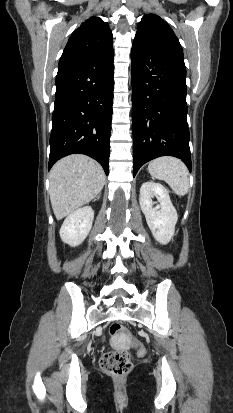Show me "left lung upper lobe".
Segmentation results:
<instances>
[{"label": "left lung upper lobe", "instance_id": "obj_1", "mask_svg": "<svg viewBox=\"0 0 233 413\" xmlns=\"http://www.w3.org/2000/svg\"><path fill=\"white\" fill-rule=\"evenodd\" d=\"M133 44L158 47L183 57V50L167 22L155 14L144 15L138 24Z\"/></svg>", "mask_w": 233, "mask_h": 413}]
</instances>
